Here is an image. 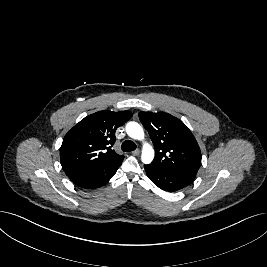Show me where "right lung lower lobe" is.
Returning a JSON list of instances; mask_svg holds the SVG:
<instances>
[{"label":"right lung lower lobe","mask_w":267,"mask_h":267,"mask_svg":"<svg viewBox=\"0 0 267 267\" xmlns=\"http://www.w3.org/2000/svg\"><path fill=\"white\" fill-rule=\"evenodd\" d=\"M123 160L112 161L84 172L70 176L71 181L79 187L94 189L105 185L116 173Z\"/></svg>","instance_id":"98d812e1"}]
</instances>
